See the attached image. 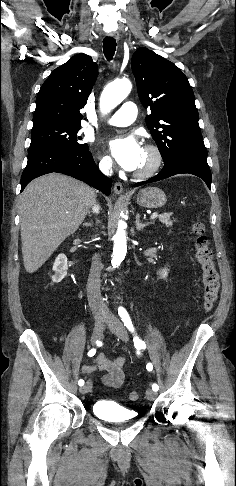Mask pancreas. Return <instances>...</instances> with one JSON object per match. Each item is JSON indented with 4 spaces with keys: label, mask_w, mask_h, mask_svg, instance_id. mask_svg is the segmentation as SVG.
Listing matches in <instances>:
<instances>
[{
    "label": "pancreas",
    "mask_w": 236,
    "mask_h": 486,
    "mask_svg": "<svg viewBox=\"0 0 236 486\" xmlns=\"http://www.w3.org/2000/svg\"><path fill=\"white\" fill-rule=\"evenodd\" d=\"M171 214L169 213H164L159 216V221L166 226H172L175 220L170 219Z\"/></svg>",
    "instance_id": "obj_1"
}]
</instances>
